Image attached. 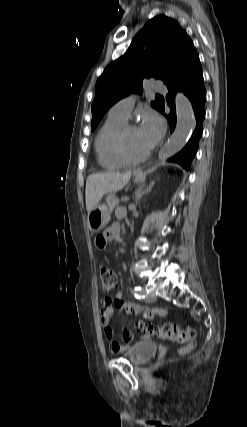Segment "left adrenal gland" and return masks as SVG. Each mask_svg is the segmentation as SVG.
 <instances>
[{
  "label": "left adrenal gland",
  "mask_w": 247,
  "mask_h": 427,
  "mask_svg": "<svg viewBox=\"0 0 247 427\" xmlns=\"http://www.w3.org/2000/svg\"><path fill=\"white\" fill-rule=\"evenodd\" d=\"M152 186H153V183H151L146 189H138L137 190V192H136V196H135V200L136 201H140V199L142 198V196L144 195V194H147V193H149L150 191H151V189H152Z\"/></svg>",
  "instance_id": "1"
}]
</instances>
